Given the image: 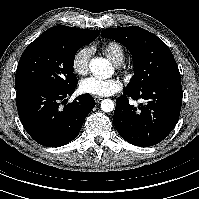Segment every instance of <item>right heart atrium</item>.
<instances>
[{
	"instance_id": "d8ad5b80",
	"label": "right heart atrium",
	"mask_w": 199,
	"mask_h": 199,
	"mask_svg": "<svg viewBox=\"0 0 199 199\" xmlns=\"http://www.w3.org/2000/svg\"><path fill=\"white\" fill-rule=\"evenodd\" d=\"M90 56L91 50L87 47L80 48L73 55L71 60V68L76 75L83 76L87 73Z\"/></svg>"
}]
</instances>
